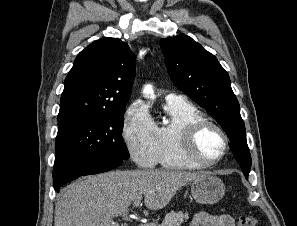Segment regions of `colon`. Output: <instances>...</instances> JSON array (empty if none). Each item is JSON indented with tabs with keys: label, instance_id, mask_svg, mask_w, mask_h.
I'll return each instance as SVG.
<instances>
[{
	"label": "colon",
	"instance_id": "obj_1",
	"mask_svg": "<svg viewBox=\"0 0 297 226\" xmlns=\"http://www.w3.org/2000/svg\"><path fill=\"white\" fill-rule=\"evenodd\" d=\"M238 226H257V220L249 214H242L239 217Z\"/></svg>",
	"mask_w": 297,
	"mask_h": 226
}]
</instances>
